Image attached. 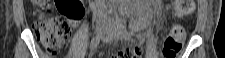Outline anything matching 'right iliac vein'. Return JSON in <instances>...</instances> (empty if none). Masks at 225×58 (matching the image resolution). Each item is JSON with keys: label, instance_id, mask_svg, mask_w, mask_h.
I'll return each mask as SVG.
<instances>
[{"label": "right iliac vein", "instance_id": "63e3f726", "mask_svg": "<svg viewBox=\"0 0 225 58\" xmlns=\"http://www.w3.org/2000/svg\"><path fill=\"white\" fill-rule=\"evenodd\" d=\"M105 21L100 20L97 22L96 29H95V37L94 38H101L104 32Z\"/></svg>", "mask_w": 225, "mask_h": 58}]
</instances>
